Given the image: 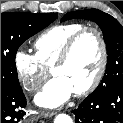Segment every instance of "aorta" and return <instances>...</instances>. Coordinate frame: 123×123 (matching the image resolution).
<instances>
[{
  "instance_id": "obj_1",
  "label": "aorta",
  "mask_w": 123,
  "mask_h": 123,
  "mask_svg": "<svg viewBox=\"0 0 123 123\" xmlns=\"http://www.w3.org/2000/svg\"><path fill=\"white\" fill-rule=\"evenodd\" d=\"M54 123H73V121L69 115L61 113L55 117Z\"/></svg>"
}]
</instances>
